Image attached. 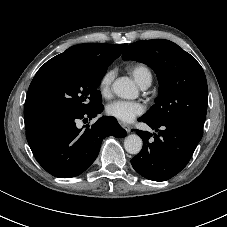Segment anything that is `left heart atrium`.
Masks as SVG:
<instances>
[{
	"instance_id": "left-heart-atrium-1",
	"label": "left heart atrium",
	"mask_w": 227,
	"mask_h": 227,
	"mask_svg": "<svg viewBox=\"0 0 227 227\" xmlns=\"http://www.w3.org/2000/svg\"><path fill=\"white\" fill-rule=\"evenodd\" d=\"M105 111L107 115L124 123H128L141 115L144 111V107L138 102L116 100L109 103Z\"/></svg>"
}]
</instances>
